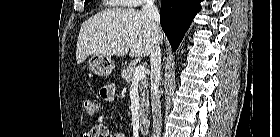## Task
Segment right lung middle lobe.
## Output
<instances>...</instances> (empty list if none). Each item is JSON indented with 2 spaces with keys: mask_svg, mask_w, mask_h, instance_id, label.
<instances>
[{
  "mask_svg": "<svg viewBox=\"0 0 280 137\" xmlns=\"http://www.w3.org/2000/svg\"><path fill=\"white\" fill-rule=\"evenodd\" d=\"M91 0H86V3L90 2Z\"/></svg>",
  "mask_w": 280,
  "mask_h": 137,
  "instance_id": "dd1d6c3e",
  "label": "right lung middle lobe"
}]
</instances>
